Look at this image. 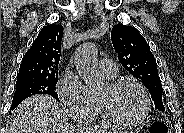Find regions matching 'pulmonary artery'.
<instances>
[{"label":"pulmonary artery","mask_w":184,"mask_h":133,"mask_svg":"<svg viewBox=\"0 0 184 133\" xmlns=\"http://www.w3.org/2000/svg\"><path fill=\"white\" fill-rule=\"evenodd\" d=\"M99 68L101 72L108 78H115L118 73L116 63L110 58H102L99 61Z\"/></svg>","instance_id":"obj_1"}]
</instances>
